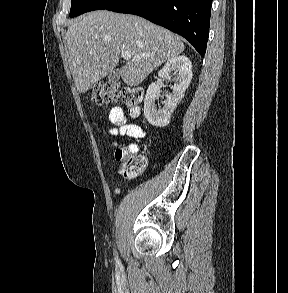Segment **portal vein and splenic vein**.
Masks as SVG:
<instances>
[{
  "label": "portal vein and splenic vein",
  "mask_w": 288,
  "mask_h": 293,
  "mask_svg": "<svg viewBox=\"0 0 288 293\" xmlns=\"http://www.w3.org/2000/svg\"><path fill=\"white\" fill-rule=\"evenodd\" d=\"M149 56L150 55H148V54H143V55H137V56L132 57V55L128 51L121 52V57L126 60H129V59L137 60V59L146 58Z\"/></svg>",
  "instance_id": "portal-vein-and-splenic-vein-1"
}]
</instances>
